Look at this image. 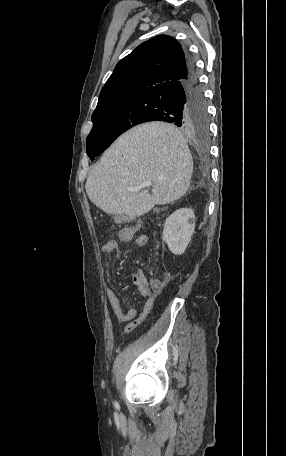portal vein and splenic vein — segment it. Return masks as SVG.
Segmentation results:
<instances>
[{
    "label": "portal vein and splenic vein",
    "mask_w": 286,
    "mask_h": 456,
    "mask_svg": "<svg viewBox=\"0 0 286 456\" xmlns=\"http://www.w3.org/2000/svg\"><path fill=\"white\" fill-rule=\"evenodd\" d=\"M152 182L150 180H146L142 183L141 188L151 187ZM131 191H137L138 188H130Z\"/></svg>",
    "instance_id": "portal-vein-and-splenic-vein-1"
}]
</instances>
